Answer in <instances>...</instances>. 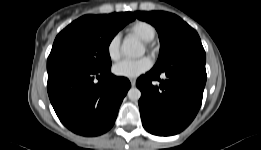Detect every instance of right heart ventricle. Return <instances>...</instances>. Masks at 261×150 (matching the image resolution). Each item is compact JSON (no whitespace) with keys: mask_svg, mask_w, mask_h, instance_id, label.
Listing matches in <instances>:
<instances>
[{"mask_svg":"<svg viewBox=\"0 0 261 150\" xmlns=\"http://www.w3.org/2000/svg\"><path fill=\"white\" fill-rule=\"evenodd\" d=\"M127 32L137 36L142 41H151L156 35V28L147 21L137 20L127 28Z\"/></svg>","mask_w":261,"mask_h":150,"instance_id":"e07e8e85","label":"right heart ventricle"}]
</instances>
